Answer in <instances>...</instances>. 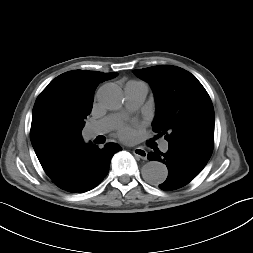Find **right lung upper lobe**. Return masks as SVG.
Here are the masks:
<instances>
[{"mask_svg": "<svg viewBox=\"0 0 253 253\" xmlns=\"http://www.w3.org/2000/svg\"><path fill=\"white\" fill-rule=\"evenodd\" d=\"M117 73L75 70L52 80L32 111L30 138L46 174L58 179L69 154L84 144L81 130L90 114L99 83Z\"/></svg>", "mask_w": 253, "mask_h": 253, "instance_id": "1", "label": "right lung upper lobe"}]
</instances>
